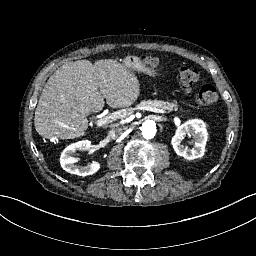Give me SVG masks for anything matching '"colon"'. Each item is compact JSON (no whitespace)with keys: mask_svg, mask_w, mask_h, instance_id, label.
I'll use <instances>...</instances> for the list:
<instances>
[{"mask_svg":"<svg viewBox=\"0 0 256 256\" xmlns=\"http://www.w3.org/2000/svg\"><path fill=\"white\" fill-rule=\"evenodd\" d=\"M146 56H139V61L143 62ZM159 63L156 59V64L153 66L158 68ZM179 78L182 87L188 91L194 92L196 100L202 106H211L218 100L216 89L210 84H204L194 90V85L198 81L199 73L192 67L182 66L179 69Z\"/></svg>","mask_w":256,"mask_h":256,"instance_id":"obj_1","label":"colon"}]
</instances>
